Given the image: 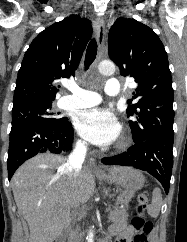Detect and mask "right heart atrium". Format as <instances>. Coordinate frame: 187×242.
Wrapping results in <instances>:
<instances>
[{
	"instance_id": "d8ad5b80",
	"label": "right heart atrium",
	"mask_w": 187,
	"mask_h": 242,
	"mask_svg": "<svg viewBox=\"0 0 187 242\" xmlns=\"http://www.w3.org/2000/svg\"><path fill=\"white\" fill-rule=\"evenodd\" d=\"M79 146H81V147H83V146H84V144H83V142H82V141H79Z\"/></svg>"
}]
</instances>
